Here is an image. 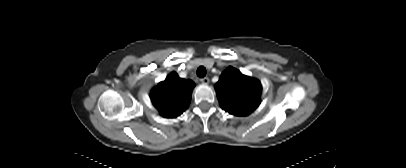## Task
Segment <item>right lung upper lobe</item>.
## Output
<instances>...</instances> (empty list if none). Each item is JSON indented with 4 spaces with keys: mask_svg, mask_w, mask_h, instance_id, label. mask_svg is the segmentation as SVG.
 Wrapping results in <instances>:
<instances>
[{
    "mask_svg": "<svg viewBox=\"0 0 406 168\" xmlns=\"http://www.w3.org/2000/svg\"><path fill=\"white\" fill-rule=\"evenodd\" d=\"M194 86L193 81L181 79L172 72L151 91L150 97L163 117L175 118L188 107Z\"/></svg>",
    "mask_w": 406,
    "mask_h": 168,
    "instance_id": "right-lung-upper-lobe-1",
    "label": "right lung upper lobe"
}]
</instances>
